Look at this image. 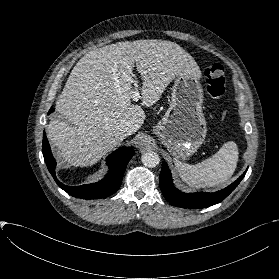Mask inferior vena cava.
Instances as JSON below:
<instances>
[{
  "label": "inferior vena cava",
  "instance_id": "obj_1",
  "mask_svg": "<svg viewBox=\"0 0 279 279\" xmlns=\"http://www.w3.org/2000/svg\"><path fill=\"white\" fill-rule=\"evenodd\" d=\"M121 133H122L123 137H128L129 135L132 134V130L130 128L126 127L122 130Z\"/></svg>",
  "mask_w": 279,
  "mask_h": 279
}]
</instances>
